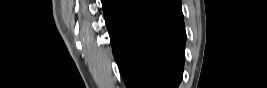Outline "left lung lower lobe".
Listing matches in <instances>:
<instances>
[{
  "mask_svg": "<svg viewBox=\"0 0 267 88\" xmlns=\"http://www.w3.org/2000/svg\"><path fill=\"white\" fill-rule=\"evenodd\" d=\"M127 88H178L186 40L180 0H102Z\"/></svg>",
  "mask_w": 267,
  "mask_h": 88,
  "instance_id": "0a47b994",
  "label": "left lung lower lobe"
}]
</instances>
